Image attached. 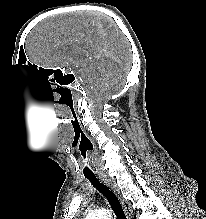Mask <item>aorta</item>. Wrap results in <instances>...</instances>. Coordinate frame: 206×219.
<instances>
[{"label": "aorta", "instance_id": "obj_1", "mask_svg": "<svg viewBox=\"0 0 206 219\" xmlns=\"http://www.w3.org/2000/svg\"><path fill=\"white\" fill-rule=\"evenodd\" d=\"M85 219H112L108 210H96L90 212Z\"/></svg>", "mask_w": 206, "mask_h": 219}]
</instances>
